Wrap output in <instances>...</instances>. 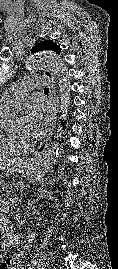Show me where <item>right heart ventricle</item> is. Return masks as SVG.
<instances>
[{"label": "right heart ventricle", "mask_w": 118, "mask_h": 269, "mask_svg": "<svg viewBox=\"0 0 118 269\" xmlns=\"http://www.w3.org/2000/svg\"><path fill=\"white\" fill-rule=\"evenodd\" d=\"M19 151L20 146L13 141L10 134L0 133V154H15Z\"/></svg>", "instance_id": "obj_1"}]
</instances>
